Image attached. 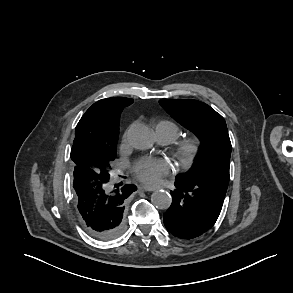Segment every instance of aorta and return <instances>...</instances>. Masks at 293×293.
Instances as JSON below:
<instances>
[{"instance_id":"aorta-1","label":"aorta","mask_w":293,"mask_h":293,"mask_svg":"<svg viewBox=\"0 0 293 293\" xmlns=\"http://www.w3.org/2000/svg\"><path fill=\"white\" fill-rule=\"evenodd\" d=\"M128 139L133 147L145 150L153 144V133L148 126L136 124L131 127ZM151 201L158 209L166 210L172 203V197L167 191L158 190L152 193Z\"/></svg>"}]
</instances>
